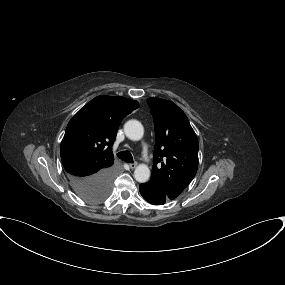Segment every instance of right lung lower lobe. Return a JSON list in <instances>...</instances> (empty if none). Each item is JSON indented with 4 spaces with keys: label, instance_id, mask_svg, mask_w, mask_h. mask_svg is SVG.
Returning <instances> with one entry per match:
<instances>
[{
    "label": "right lung lower lobe",
    "instance_id": "right-lung-lower-lobe-1",
    "mask_svg": "<svg viewBox=\"0 0 285 285\" xmlns=\"http://www.w3.org/2000/svg\"><path fill=\"white\" fill-rule=\"evenodd\" d=\"M115 169L106 167L102 169L83 168L68 172L67 176L73 190L80 196L93 190H111Z\"/></svg>",
    "mask_w": 285,
    "mask_h": 285
}]
</instances>
